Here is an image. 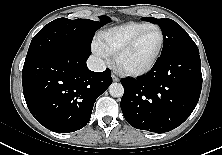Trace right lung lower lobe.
Returning a JSON list of instances; mask_svg holds the SVG:
<instances>
[{"instance_id":"right-lung-lower-lobe-1","label":"right lung lower lobe","mask_w":222,"mask_h":155,"mask_svg":"<svg viewBox=\"0 0 222 155\" xmlns=\"http://www.w3.org/2000/svg\"><path fill=\"white\" fill-rule=\"evenodd\" d=\"M90 54L59 49L24 63L25 101L34 118L47 129L68 133L83 128L95 100L112 83L109 69L101 73L88 69Z\"/></svg>"}]
</instances>
